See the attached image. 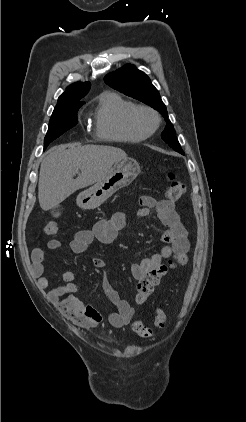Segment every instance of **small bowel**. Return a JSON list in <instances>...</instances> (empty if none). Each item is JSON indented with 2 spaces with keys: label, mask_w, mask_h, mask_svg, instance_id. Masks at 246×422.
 <instances>
[{
  "label": "small bowel",
  "mask_w": 246,
  "mask_h": 422,
  "mask_svg": "<svg viewBox=\"0 0 246 422\" xmlns=\"http://www.w3.org/2000/svg\"><path fill=\"white\" fill-rule=\"evenodd\" d=\"M152 209L156 210L160 221L166 227L162 235V241L166 245L151 257L131 265V273L136 280L141 279L150 270L159 267L163 260L177 254H187L189 250L187 231L175 209L174 202L172 200H157L148 195L142 196L137 215L145 217ZM127 226L128 221L125 214L117 212L108 218L99 220L91 229L76 232L70 242V249L74 254H81L95 240L103 244H109L115 239L118 232ZM47 246L50 250H57L61 247V242L52 239ZM31 258L32 270L38 278V285L42 289H49L47 296L50 301L58 306L71 321L85 329L94 328L102 322L103 318L99 311L90 305L83 304L73 295V293L82 288L75 281L73 273L67 272L64 274V285L50 288V281L44 276V250L40 248L33 250ZM92 263L99 269L105 266L103 259L98 257L93 258ZM101 290L117 308L108 317L110 324L116 328L128 325L134 313L129 302L123 299L119 292L104 277L101 280Z\"/></svg>",
  "instance_id": "small-bowel-1"
}]
</instances>
